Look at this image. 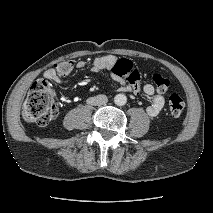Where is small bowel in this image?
I'll list each match as a JSON object with an SVG mask.
<instances>
[{
    "label": "small bowel",
    "mask_w": 213,
    "mask_h": 213,
    "mask_svg": "<svg viewBox=\"0 0 213 213\" xmlns=\"http://www.w3.org/2000/svg\"><path fill=\"white\" fill-rule=\"evenodd\" d=\"M117 61V58L113 55L99 56L93 59V61L90 63V70L94 73L101 71L109 72L111 77L118 83V90L120 92H132L134 94L143 93L144 95L150 97L151 102L147 106L146 112L150 117L158 116L165 104L163 95L157 92L155 87L150 83L142 85L140 74L134 68L132 73L127 77H119L115 75L112 70ZM86 66L87 62L84 60H78L74 62L73 65V67L78 69H83ZM44 77L54 82H61L65 76L59 75L55 68H48L44 72Z\"/></svg>",
    "instance_id": "1"
}]
</instances>
